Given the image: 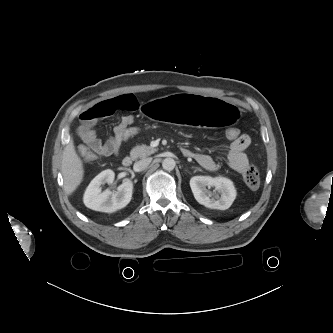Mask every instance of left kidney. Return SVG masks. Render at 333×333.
I'll return each mask as SVG.
<instances>
[{"mask_svg":"<svg viewBox=\"0 0 333 333\" xmlns=\"http://www.w3.org/2000/svg\"><path fill=\"white\" fill-rule=\"evenodd\" d=\"M190 187L197 202L211 209L226 210L236 198L233 182L225 177L194 176ZM212 187L221 195L212 192Z\"/></svg>","mask_w":333,"mask_h":333,"instance_id":"5707ae66","label":"left kidney"}]
</instances>
